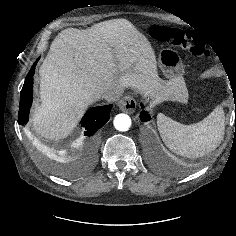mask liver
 Here are the masks:
<instances>
[{
    "instance_id": "6515ba94",
    "label": "liver",
    "mask_w": 236,
    "mask_h": 236,
    "mask_svg": "<svg viewBox=\"0 0 236 236\" xmlns=\"http://www.w3.org/2000/svg\"><path fill=\"white\" fill-rule=\"evenodd\" d=\"M39 74L41 104L35 106L31 121L47 139L68 136L87 107L107 90L130 87L145 96L182 100L179 90L168 89L159 78L148 39L123 18L63 30Z\"/></svg>"
}]
</instances>
